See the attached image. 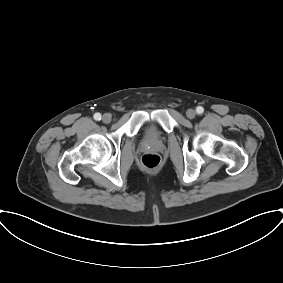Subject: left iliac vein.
Masks as SVG:
<instances>
[{"instance_id": "obj_1", "label": "left iliac vein", "mask_w": 283, "mask_h": 283, "mask_svg": "<svg viewBox=\"0 0 283 283\" xmlns=\"http://www.w3.org/2000/svg\"><path fill=\"white\" fill-rule=\"evenodd\" d=\"M186 115H187V117H188L189 119H193V118H195V116H196V112H195V110H193V109H188V110L186 111Z\"/></svg>"}]
</instances>
